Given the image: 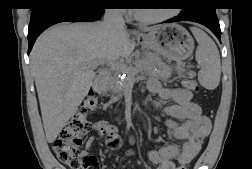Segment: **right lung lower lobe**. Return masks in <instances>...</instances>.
Returning a JSON list of instances; mask_svg holds the SVG:
<instances>
[{
  "label": "right lung lower lobe",
  "instance_id": "1",
  "mask_svg": "<svg viewBox=\"0 0 252 169\" xmlns=\"http://www.w3.org/2000/svg\"><path fill=\"white\" fill-rule=\"evenodd\" d=\"M105 5L85 0H43L31 8L28 30L30 53L37 37L48 27L60 22L96 21L104 14Z\"/></svg>",
  "mask_w": 252,
  "mask_h": 169
}]
</instances>
